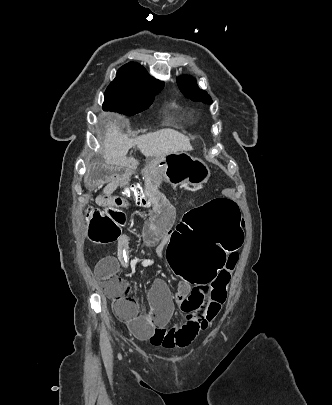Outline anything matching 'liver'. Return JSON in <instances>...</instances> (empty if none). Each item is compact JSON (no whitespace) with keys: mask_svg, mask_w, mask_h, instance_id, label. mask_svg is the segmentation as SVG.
<instances>
[{"mask_svg":"<svg viewBox=\"0 0 332 405\" xmlns=\"http://www.w3.org/2000/svg\"><path fill=\"white\" fill-rule=\"evenodd\" d=\"M134 145H137L144 156L156 159L170 153L193 149L189 138L174 129L166 128L130 139L122 134L115 124L110 123L103 141L104 159L113 164L125 163L126 155Z\"/></svg>","mask_w":332,"mask_h":405,"instance_id":"obj_1","label":"liver"}]
</instances>
